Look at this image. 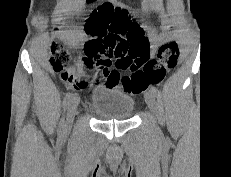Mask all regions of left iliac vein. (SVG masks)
Segmentation results:
<instances>
[{
	"label": "left iliac vein",
	"instance_id": "1",
	"mask_svg": "<svg viewBox=\"0 0 231 177\" xmlns=\"http://www.w3.org/2000/svg\"><path fill=\"white\" fill-rule=\"evenodd\" d=\"M145 101L150 111L155 113L156 112V100H155L154 94L151 91L146 92Z\"/></svg>",
	"mask_w": 231,
	"mask_h": 177
}]
</instances>
